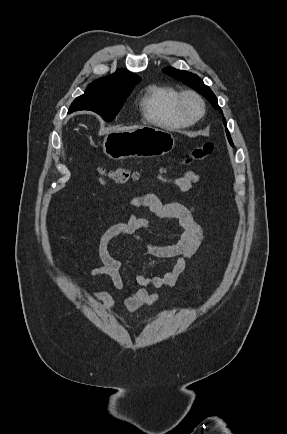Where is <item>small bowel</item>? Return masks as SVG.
Instances as JSON below:
<instances>
[{
  "mask_svg": "<svg viewBox=\"0 0 287 434\" xmlns=\"http://www.w3.org/2000/svg\"><path fill=\"white\" fill-rule=\"evenodd\" d=\"M158 179L182 193H189L199 182V175L193 171H187L179 177ZM129 209H147L157 218L176 220L182 227L180 238L174 243L157 244L145 237L150 229L149 222L142 218L129 216L126 223L114 224L107 228L100 236L98 244V259L100 265L91 269V275H107L112 279L116 289L125 287L120 274L123 262L112 257L107 251L108 243L118 235L132 236L143 247V255L146 258H168L173 260L172 267L162 276L148 277L142 272L135 275L137 288L129 290L123 301L125 310L132 312L144 305H151L159 298V294H149V289L161 287L173 288L181 274L186 270L188 261L199 249L202 239V227L196 221V207L192 203H163L156 195L143 193L126 201ZM94 300L102 302L111 311H116L119 305L104 291L93 293Z\"/></svg>",
  "mask_w": 287,
  "mask_h": 434,
  "instance_id": "obj_1",
  "label": "small bowel"
}]
</instances>
